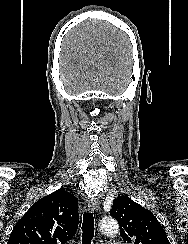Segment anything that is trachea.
<instances>
[{
    "label": "trachea",
    "mask_w": 188,
    "mask_h": 244,
    "mask_svg": "<svg viewBox=\"0 0 188 244\" xmlns=\"http://www.w3.org/2000/svg\"><path fill=\"white\" fill-rule=\"evenodd\" d=\"M82 244H91L94 236V217L93 213L85 212L82 223Z\"/></svg>",
    "instance_id": "1"
}]
</instances>
